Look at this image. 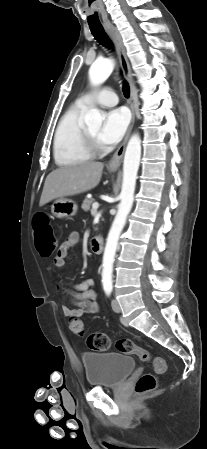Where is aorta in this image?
<instances>
[{"label": "aorta", "instance_id": "1", "mask_svg": "<svg viewBox=\"0 0 207 449\" xmlns=\"http://www.w3.org/2000/svg\"><path fill=\"white\" fill-rule=\"evenodd\" d=\"M114 69V62L111 59L95 61L89 69V79L93 86L104 83ZM103 117L96 108L90 109L85 115V124L89 127L100 128ZM141 158V139L134 134L130 138L124 156L123 182L120 193V203L117 214L109 231L102 263V284L112 285L113 262L116 254L119 236L125 226L128 214L131 211L134 192L136 186L137 172Z\"/></svg>", "mask_w": 207, "mask_h": 449}]
</instances>
